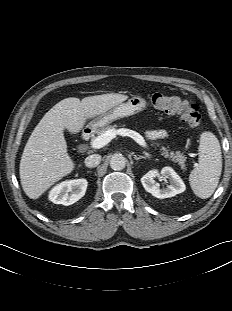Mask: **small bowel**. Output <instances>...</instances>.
<instances>
[{"label":"small bowel","instance_id":"c3829d8e","mask_svg":"<svg viewBox=\"0 0 232 311\" xmlns=\"http://www.w3.org/2000/svg\"><path fill=\"white\" fill-rule=\"evenodd\" d=\"M146 136L151 141H157L164 139L166 137V132L164 130H150L147 132Z\"/></svg>","mask_w":232,"mask_h":311}]
</instances>
